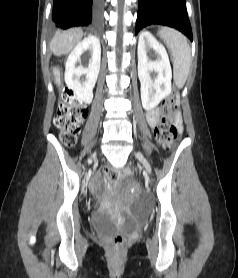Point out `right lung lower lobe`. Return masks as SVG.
I'll use <instances>...</instances> for the list:
<instances>
[{"label": "right lung lower lobe", "mask_w": 238, "mask_h": 278, "mask_svg": "<svg viewBox=\"0 0 238 278\" xmlns=\"http://www.w3.org/2000/svg\"><path fill=\"white\" fill-rule=\"evenodd\" d=\"M101 6L102 0H54L52 18L59 29L96 25Z\"/></svg>", "instance_id": "obj_1"}]
</instances>
